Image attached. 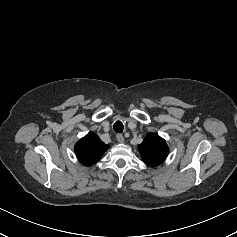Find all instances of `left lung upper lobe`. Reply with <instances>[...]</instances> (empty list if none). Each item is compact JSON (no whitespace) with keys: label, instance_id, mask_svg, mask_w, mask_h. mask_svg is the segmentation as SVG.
Segmentation results:
<instances>
[{"label":"left lung upper lobe","instance_id":"5c2ea615","mask_svg":"<svg viewBox=\"0 0 237 237\" xmlns=\"http://www.w3.org/2000/svg\"><path fill=\"white\" fill-rule=\"evenodd\" d=\"M138 149L142 160L151 166L161 164L169 152L166 141L155 133L147 134Z\"/></svg>","mask_w":237,"mask_h":237}]
</instances>
